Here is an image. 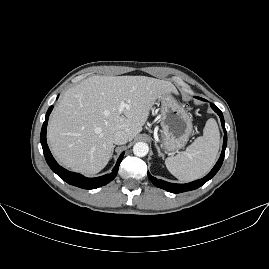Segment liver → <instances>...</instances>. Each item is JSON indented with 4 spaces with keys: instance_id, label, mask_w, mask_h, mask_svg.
<instances>
[{
    "instance_id": "liver-1",
    "label": "liver",
    "mask_w": 269,
    "mask_h": 269,
    "mask_svg": "<svg viewBox=\"0 0 269 269\" xmlns=\"http://www.w3.org/2000/svg\"><path fill=\"white\" fill-rule=\"evenodd\" d=\"M175 86L146 76H92L69 88L55 108L47 140L56 159L85 175L100 172L109 162L112 136L124 131L128 140L142 131L160 95ZM129 105L122 112L120 103Z\"/></svg>"
}]
</instances>
